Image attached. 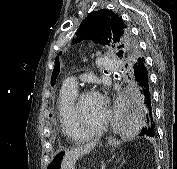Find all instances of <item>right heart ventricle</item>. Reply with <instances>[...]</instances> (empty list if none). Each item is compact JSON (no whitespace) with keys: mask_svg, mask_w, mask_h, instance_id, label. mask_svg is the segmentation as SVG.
I'll use <instances>...</instances> for the list:
<instances>
[{"mask_svg":"<svg viewBox=\"0 0 177 169\" xmlns=\"http://www.w3.org/2000/svg\"><path fill=\"white\" fill-rule=\"evenodd\" d=\"M78 94V90H69L64 87L60 90L58 98V119L63 135L70 141L83 140L78 136L72 118V105Z\"/></svg>","mask_w":177,"mask_h":169,"instance_id":"right-heart-ventricle-1","label":"right heart ventricle"}]
</instances>
